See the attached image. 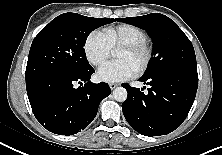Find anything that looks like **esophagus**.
<instances>
[{"mask_svg":"<svg viewBox=\"0 0 222 155\" xmlns=\"http://www.w3.org/2000/svg\"><path fill=\"white\" fill-rule=\"evenodd\" d=\"M109 86H110V89H111V90H114L116 87H118V84H116V83H110Z\"/></svg>","mask_w":222,"mask_h":155,"instance_id":"esophagus-1","label":"esophagus"}]
</instances>
